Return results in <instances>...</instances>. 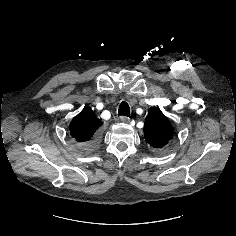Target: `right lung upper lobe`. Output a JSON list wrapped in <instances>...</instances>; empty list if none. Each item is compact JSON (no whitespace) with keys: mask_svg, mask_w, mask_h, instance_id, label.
<instances>
[{"mask_svg":"<svg viewBox=\"0 0 236 236\" xmlns=\"http://www.w3.org/2000/svg\"><path fill=\"white\" fill-rule=\"evenodd\" d=\"M103 124L88 106L73 118L70 123V134L78 142H86L92 138L96 130Z\"/></svg>","mask_w":236,"mask_h":236,"instance_id":"obj_1","label":"right lung upper lobe"}]
</instances>
